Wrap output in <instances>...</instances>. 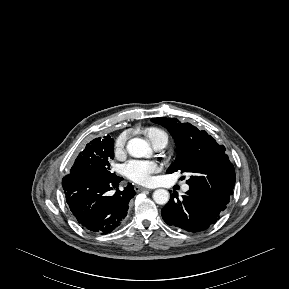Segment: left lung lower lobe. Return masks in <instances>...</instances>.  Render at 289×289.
I'll return each instance as SVG.
<instances>
[{"label":"left lung lower lobe","mask_w":289,"mask_h":289,"mask_svg":"<svg viewBox=\"0 0 289 289\" xmlns=\"http://www.w3.org/2000/svg\"><path fill=\"white\" fill-rule=\"evenodd\" d=\"M230 198L206 190L190 187L186 195L178 198L171 194L169 202L161 210L164 221L189 232L206 230L216 223Z\"/></svg>","instance_id":"1"}]
</instances>
